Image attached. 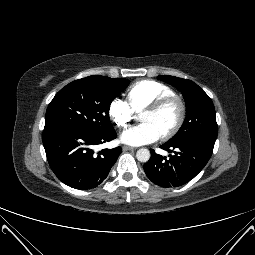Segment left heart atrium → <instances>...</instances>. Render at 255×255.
<instances>
[{"label": "left heart atrium", "mask_w": 255, "mask_h": 255, "mask_svg": "<svg viewBox=\"0 0 255 255\" xmlns=\"http://www.w3.org/2000/svg\"><path fill=\"white\" fill-rule=\"evenodd\" d=\"M160 137L161 134L153 125L142 123L123 132L121 140L129 145L140 146L153 143Z\"/></svg>", "instance_id": "obj_1"}]
</instances>
